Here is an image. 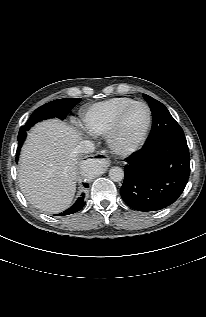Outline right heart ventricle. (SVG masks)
<instances>
[{"mask_svg":"<svg viewBox=\"0 0 206 317\" xmlns=\"http://www.w3.org/2000/svg\"><path fill=\"white\" fill-rule=\"evenodd\" d=\"M133 101L127 97H116L91 105L83 114L86 130L93 135H106L117 114Z\"/></svg>","mask_w":206,"mask_h":317,"instance_id":"right-heart-ventricle-1","label":"right heart ventricle"}]
</instances>
